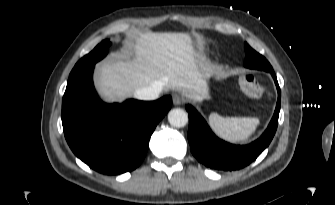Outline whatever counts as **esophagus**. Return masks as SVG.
<instances>
[{"mask_svg":"<svg viewBox=\"0 0 335 205\" xmlns=\"http://www.w3.org/2000/svg\"><path fill=\"white\" fill-rule=\"evenodd\" d=\"M183 103V98L177 94L173 96V104L174 105H181Z\"/></svg>","mask_w":335,"mask_h":205,"instance_id":"obj_1","label":"esophagus"}]
</instances>
